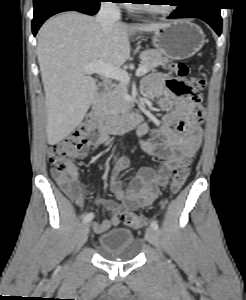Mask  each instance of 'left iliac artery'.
I'll return each mask as SVG.
<instances>
[{
	"instance_id": "44dca946",
	"label": "left iliac artery",
	"mask_w": 246,
	"mask_h": 300,
	"mask_svg": "<svg viewBox=\"0 0 246 300\" xmlns=\"http://www.w3.org/2000/svg\"><path fill=\"white\" fill-rule=\"evenodd\" d=\"M151 227L154 228L155 230H158V229H159V226H158L157 221L153 220V221L151 222Z\"/></svg>"
}]
</instances>
